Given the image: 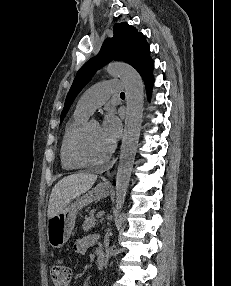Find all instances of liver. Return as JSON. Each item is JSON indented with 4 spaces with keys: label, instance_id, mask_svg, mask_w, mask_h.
<instances>
[{
    "label": "liver",
    "instance_id": "1",
    "mask_svg": "<svg viewBox=\"0 0 231 286\" xmlns=\"http://www.w3.org/2000/svg\"><path fill=\"white\" fill-rule=\"evenodd\" d=\"M97 179L95 174L77 173L64 177L52 189L48 219L60 213L73 199L88 191Z\"/></svg>",
    "mask_w": 231,
    "mask_h": 286
}]
</instances>
